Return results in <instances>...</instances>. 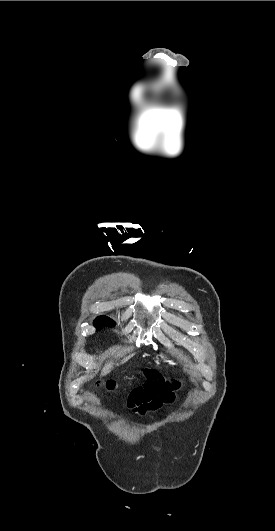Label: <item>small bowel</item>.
I'll return each instance as SVG.
<instances>
[{"instance_id":"1","label":"small bowel","mask_w":275,"mask_h":531,"mask_svg":"<svg viewBox=\"0 0 275 531\" xmlns=\"http://www.w3.org/2000/svg\"><path fill=\"white\" fill-rule=\"evenodd\" d=\"M142 372L145 373V381L148 382L142 387L138 388L131 397L130 407L138 414H146L149 411L159 409L163 404H172L177 400L175 394L181 392V385L177 383H160V376L163 371L160 368L149 367L144 364L141 367ZM167 382H189V375H167ZM115 378L109 377L105 388L108 391H113ZM108 400L107 398L105 399Z\"/></svg>"}]
</instances>
